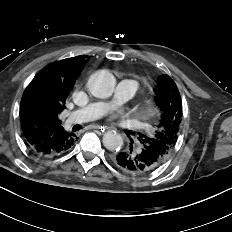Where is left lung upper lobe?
Segmentation results:
<instances>
[{"label":"left lung upper lobe","instance_id":"left-lung-upper-lobe-1","mask_svg":"<svg viewBox=\"0 0 232 232\" xmlns=\"http://www.w3.org/2000/svg\"><path fill=\"white\" fill-rule=\"evenodd\" d=\"M154 92L160 120L153 134L140 135L138 139L142 148L156 153L164 161L175 146L179 135L182 100L175 82L168 75L159 77Z\"/></svg>","mask_w":232,"mask_h":232}]
</instances>
